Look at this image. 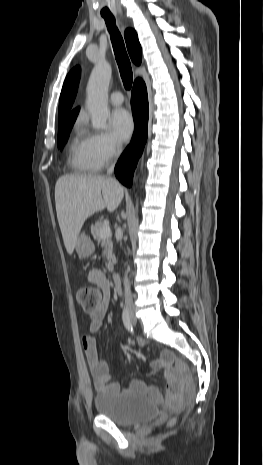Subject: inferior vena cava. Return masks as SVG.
<instances>
[{
    "mask_svg": "<svg viewBox=\"0 0 263 465\" xmlns=\"http://www.w3.org/2000/svg\"><path fill=\"white\" fill-rule=\"evenodd\" d=\"M120 146L118 145L117 146V150L114 151V154L116 157H118V155L120 154ZM114 171V164H112L109 169L107 170V177L113 181L114 183L118 184V182L111 177V174L113 173ZM123 283H124V298H125V305L126 307L132 309L133 308V299H132V294H131V289H130V284H129V279L127 277V274H125L124 276V280H123Z\"/></svg>",
    "mask_w": 263,
    "mask_h": 465,
    "instance_id": "1",
    "label": "inferior vena cava"
}]
</instances>
